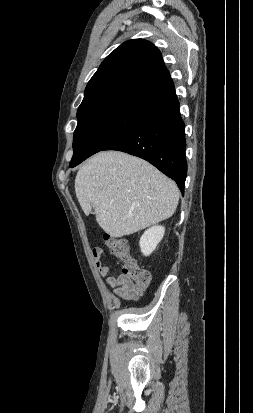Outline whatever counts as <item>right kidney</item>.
Listing matches in <instances>:
<instances>
[{"label": "right kidney", "instance_id": "right-kidney-1", "mask_svg": "<svg viewBox=\"0 0 253 413\" xmlns=\"http://www.w3.org/2000/svg\"><path fill=\"white\" fill-rule=\"evenodd\" d=\"M165 233L163 226H153L146 230L140 238V249L144 256H149L162 240Z\"/></svg>", "mask_w": 253, "mask_h": 413}]
</instances>
